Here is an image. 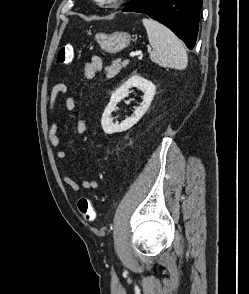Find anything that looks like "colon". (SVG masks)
Returning <instances> with one entry per match:
<instances>
[{
    "label": "colon",
    "mask_w": 249,
    "mask_h": 294,
    "mask_svg": "<svg viewBox=\"0 0 249 294\" xmlns=\"http://www.w3.org/2000/svg\"><path fill=\"white\" fill-rule=\"evenodd\" d=\"M74 48L72 45L67 44L58 50L57 53V63L60 65H69L73 61ZM78 210L87 222H92L96 218V212L91 200L87 197H81L78 200Z\"/></svg>",
    "instance_id": "colon-1"
}]
</instances>
